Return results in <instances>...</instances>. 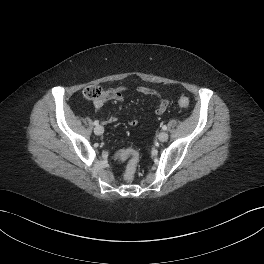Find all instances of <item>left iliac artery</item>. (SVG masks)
Returning <instances> with one entry per match:
<instances>
[{"instance_id":"left-iliac-artery-1","label":"left iliac artery","mask_w":264,"mask_h":264,"mask_svg":"<svg viewBox=\"0 0 264 264\" xmlns=\"http://www.w3.org/2000/svg\"><path fill=\"white\" fill-rule=\"evenodd\" d=\"M162 129H163V130H166V129H167V126H166V125H163V126H162Z\"/></svg>"}]
</instances>
